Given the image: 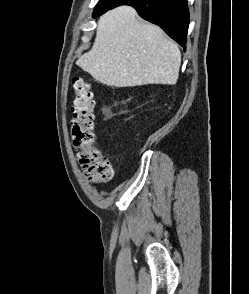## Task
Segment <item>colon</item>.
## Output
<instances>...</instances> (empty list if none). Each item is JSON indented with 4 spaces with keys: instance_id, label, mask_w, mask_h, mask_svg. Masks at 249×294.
<instances>
[{
    "instance_id": "colon-1",
    "label": "colon",
    "mask_w": 249,
    "mask_h": 294,
    "mask_svg": "<svg viewBox=\"0 0 249 294\" xmlns=\"http://www.w3.org/2000/svg\"><path fill=\"white\" fill-rule=\"evenodd\" d=\"M73 117L71 120L72 144L78 150V161L88 179L93 183H105L113 177L109 158L96 145L94 132V99L90 84L79 76H73Z\"/></svg>"
}]
</instances>
